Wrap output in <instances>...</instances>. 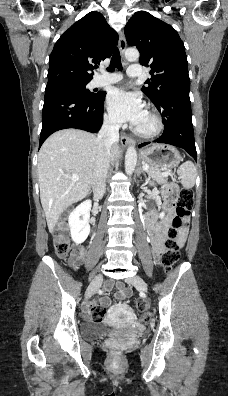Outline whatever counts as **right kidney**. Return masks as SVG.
Returning <instances> with one entry per match:
<instances>
[{
	"mask_svg": "<svg viewBox=\"0 0 228 396\" xmlns=\"http://www.w3.org/2000/svg\"><path fill=\"white\" fill-rule=\"evenodd\" d=\"M91 201L87 200L77 206L69 215L68 224L71 238L76 244L83 243L90 233Z\"/></svg>",
	"mask_w": 228,
	"mask_h": 396,
	"instance_id": "right-kidney-1",
	"label": "right kidney"
}]
</instances>
